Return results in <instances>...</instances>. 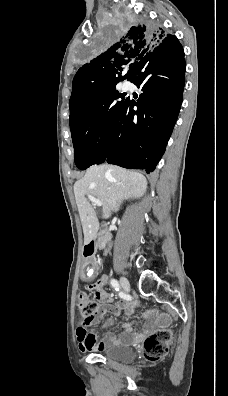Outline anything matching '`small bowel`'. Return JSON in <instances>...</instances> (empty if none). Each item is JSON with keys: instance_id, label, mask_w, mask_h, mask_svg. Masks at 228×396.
<instances>
[{"instance_id": "1", "label": "small bowel", "mask_w": 228, "mask_h": 396, "mask_svg": "<svg viewBox=\"0 0 228 396\" xmlns=\"http://www.w3.org/2000/svg\"><path fill=\"white\" fill-rule=\"evenodd\" d=\"M83 272L86 277L94 276V265L91 262H87L83 266ZM108 283V277L103 275L95 283L91 284L88 289L93 291L96 300L101 303V307L97 310L92 323L99 322L103 315L107 312H112L114 315H119L121 310H124L127 314H130L134 308V303L128 300L115 301L114 296L105 290V286ZM113 319L109 318L104 327L111 325ZM124 332L119 338L112 334H108L101 340H98L97 334L100 329H94L87 331L85 327L78 326L76 334L79 344V349L81 351H101L102 349L119 344L121 342H129L134 339L132 335V325L129 323H124ZM150 327L149 323H144V328L148 329ZM139 338V337H137Z\"/></svg>"}]
</instances>
